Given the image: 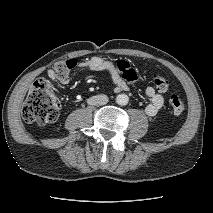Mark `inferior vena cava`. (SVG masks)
<instances>
[{
  "mask_svg": "<svg viewBox=\"0 0 213 213\" xmlns=\"http://www.w3.org/2000/svg\"><path fill=\"white\" fill-rule=\"evenodd\" d=\"M87 102L89 105H95V106L105 105L108 102V97L104 94H100V95L90 97Z\"/></svg>",
  "mask_w": 213,
  "mask_h": 213,
  "instance_id": "obj_1",
  "label": "inferior vena cava"
}]
</instances>
